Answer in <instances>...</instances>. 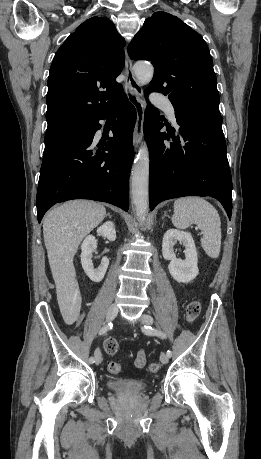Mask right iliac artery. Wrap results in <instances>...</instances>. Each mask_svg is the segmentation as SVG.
<instances>
[{"mask_svg":"<svg viewBox=\"0 0 261 459\" xmlns=\"http://www.w3.org/2000/svg\"><path fill=\"white\" fill-rule=\"evenodd\" d=\"M112 328V323H108L106 325H104L100 330H99V335H103L105 334L108 330H110ZM98 350V349H97ZM97 350L95 351V355H96V352ZM89 362L90 363H93L94 362V358L93 357H90L89 358Z\"/></svg>","mask_w":261,"mask_h":459,"instance_id":"82829eb1","label":"right iliac artery"}]
</instances>
